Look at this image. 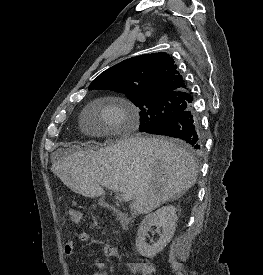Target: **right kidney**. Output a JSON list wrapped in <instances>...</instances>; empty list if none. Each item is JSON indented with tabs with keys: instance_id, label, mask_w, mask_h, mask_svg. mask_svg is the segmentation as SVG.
Here are the masks:
<instances>
[{
	"instance_id": "right-kidney-1",
	"label": "right kidney",
	"mask_w": 263,
	"mask_h": 275,
	"mask_svg": "<svg viewBox=\"0 0 263 275\" xmlns=\"http://www.w3.org/2000/svg\"><path fill=\"white\" fill-rule=\"evenodd\" d=\"M176 211L177 209L174 206L169 205L144 217L136 238V249L140 255L152 258L166 247L175 232L178 220ZM153 226H156V232L159 233L160 238L156 243L150 245L146 242V236Z\"/></svg>"
}]
</instances>
